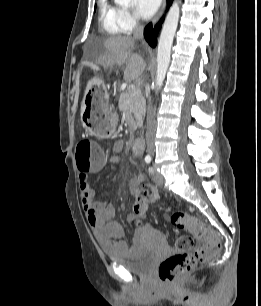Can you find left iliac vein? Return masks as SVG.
<instances>
[{
  "instance_id": "left-iliac-vein-1",
  "label": "left iliac vein",
  "mask_w": 261,
  "mask_h": 306,
  "mask_svg": "<svg viewBox=\"0 0 261 306\" xmlns=\"http://www.w3.org/2000/svg\"><path fill=\"white\" fill-rule=\"evenodd\" d=\"M153 180L159 186L163 184V176L157 171H154Z\"/></svg>"
}]
</instances>
